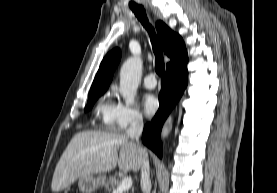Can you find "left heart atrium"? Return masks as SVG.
<instances>
[{"label":"left heart atrium","instance_id":"obj_1","mask_svg":"<svg viewBox=\"0 0 277 193\" xmlns=\"http://www.w3.org/2000/svg\"><path fill=\"white\" fill-rule=\"evenodd\" d=\"M142 107L147 116H152L158 109V100L157 98L147 93L142 97Z\"/></svg>","mask_w":277,"mask_h":193}]
</instances>
